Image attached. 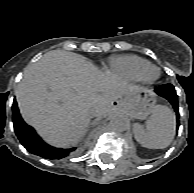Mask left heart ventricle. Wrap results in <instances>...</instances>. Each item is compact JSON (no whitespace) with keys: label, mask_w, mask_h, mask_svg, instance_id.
Returning a JSON list of instances; mask_svg holds the SVG:
<instances>
[{"label":"left heart ventricle","mask_w":194,"mask_h":193,"mask_svg":"<svg viewBox=\"0 0 194 193\" xmlns=\"http://www.w3.org/2000/svg\"><path fill=\"white\" fill-rule=\"evenodd\" d=\"M155 74H156L155 70H150L148 73L149 76H154Z\"/></svg>","instance_id":"left-heart-ventricle-1"}]
</instances>
